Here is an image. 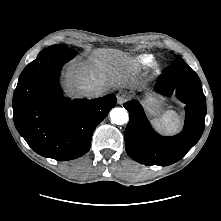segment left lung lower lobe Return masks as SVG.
Segmentation results:
<instances>
[{
	"instance_id": "left-lung-lower-lobe-1",
	"label": "left lung lower lobe",
	"mask_w": 221,
	"mask_h": 221,
	"mask_svg": "<svg viewBox=\"0 0 221 221\" xmlns=\"http://www.w3.org/2000/svg\"><path fill=\"white\" fill-rule=\"evenodd\" d=\"M155 88L164 95L176 90V96L186 104L184 128L176 136L163 137L153 131L137 101L126 102L130 120L124 134L125 148L141 164L167 166L180 160L200 139L205 127L206 99L198 75L184 63L167 67Z\"/></svg>"
}]
</instances>
